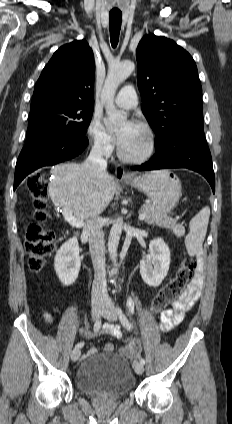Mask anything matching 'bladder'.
<instances>
[{
	"label": "bladder",
	"mask_w": 232,
	"mask_h": 424,
	"mask_svg": "<svg viewBox=\"0 0 232 424\" xmlns=\"http://www.w3.org/2000/svg\"><path fill=\"white\" fill-rule=\"evenodd\" d=\"M75 384L87 395L122 397L133 390L136 379L127 359L119 355H95L81 363Z\"/></svg>",
	"instance_id": "31cf9c89"
}]
</instances>
